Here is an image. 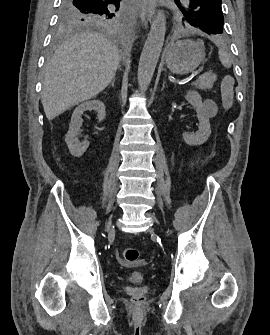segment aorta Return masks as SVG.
Returning a JSON list of instances; mask_svg holds the SVG:
<instances>
[{
  "mask_svg": "<svg viewBox=\"0 0 270 335\" xmlns=\"http://www.w3.org/2000/svg\"><path fill=\"white\" fill-rule=\"evenodd\" d=\"M166 32V18L164 10H158L148 38L142 50L138 66V84L140 90H147L155 72L156 64L161 54Z\"/></svg>",
  "mask_w": 270,
  "mask_h": 335,
  "instance_id": "762f6f07",
  "label": "aorta"
}]
</instances>
